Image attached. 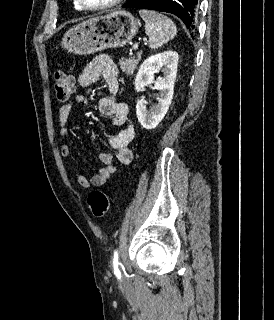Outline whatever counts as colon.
Wrapping results in <instances>:
<instances>
[{
    "instance_id": "5ec220e1",
    "label": "colon",
    "mask_w": 274,
    "mask_h": 320,
    "mask_svg": "<svg viewBox=\"0 0 274 320\" xmlns=\"http://www.w3.org/2000/svg\"><path fill=\"white\" fill-rule=\"evenodd\" d=\"M74 90V82L63 70L54 73V95L58 102H67ZM114 203L111 196L102 190H93L87 197V206L96 218H103Z\"/></svg>"
}]
</instances>
